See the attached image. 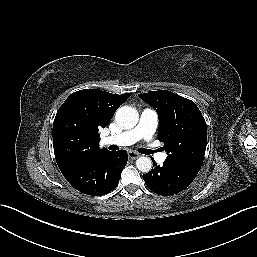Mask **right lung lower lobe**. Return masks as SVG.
<instances>
[{"instance_id": "right-lung-lower-lobe-1", "label": "right lung lower lobe", "mask_w": 257, "mask_h": 257, "mask_svg": "<svg viewBox=\"0 0 257 257\" xmlns=\"http://www.w3.org/2000/svg\"><path fill=\"white\" fill-rule=\"evenodd\" d=\"M127 160L125 150L105 151L82 165L61 169V172L76 190L87 195L101 196L117 187Z\"/></svg>"}]
</instances>
